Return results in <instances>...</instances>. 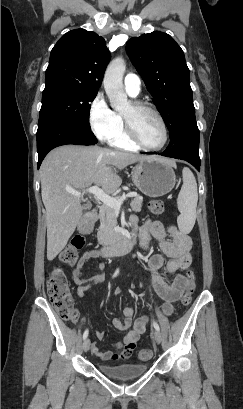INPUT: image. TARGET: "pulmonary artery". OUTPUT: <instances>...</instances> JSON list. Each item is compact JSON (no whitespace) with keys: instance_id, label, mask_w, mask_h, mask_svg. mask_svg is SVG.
I'll return each mask as SVG.
<instances>
[{"instance_id":"pulmonary-artery-1","label":"pulmonary artery","mask_w":243,"mask_h":409,"mask_svg":"<svg viewBox=\"0 0 243 409\" xmlns=\"http://www.w3.org/2000/svg\"><path fill=\"white\" fill-rule=\"evenodd\" d=\"M124 89L130 96H137L141 91V80L137 74L129 73L124 78Z\"/></svg>"}]
</instances>
